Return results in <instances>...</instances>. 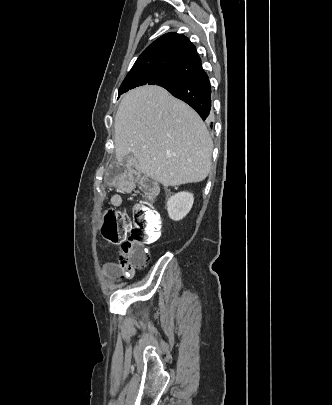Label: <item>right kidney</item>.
Instances as JSON below:
<instances>
[{"instance_id": "ca27d5eb", "label": "right kidney", "mask_w": 332, "mask_h": 405, "mask_svg": "<svg viewBox=\"0 0 332 405\" xmlns=\"http://www.w3.org/2000/svg\"><path fill=\"white\" fill-rule=\"evenodd\" d=\"M194 202L192 193L178 192L167 201V211L173 221L182 220L191 210Z\"/></svg>"}]
</instances>
